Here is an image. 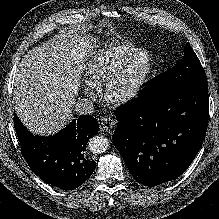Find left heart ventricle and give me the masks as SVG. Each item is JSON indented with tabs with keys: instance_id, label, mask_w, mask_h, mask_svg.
I'll return each mask as SVG.
<instances>
[{
	"instance_id": "left-heart-ventricle-1",
	"label": "left heart ventricle",
	"mask_w": 219,
	"mask_h": 219,
	"mask_svg": "<svg viewBox=\"0 0 219 219\" xmlns=\"http://www.w3.org/2000/svg\"><path fill=\"white\" fill-rule=\"evenodd\" d=\"M147 65L145 57H139L134 62L130 63L122 72L118 82L119 90L129 89L140 77Z\"/></svg>"
}]
</instances>
